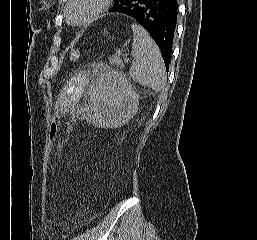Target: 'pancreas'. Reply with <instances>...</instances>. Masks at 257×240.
Listing matches in <instances>:
<instances>
[{
    "label": "pancreas",
    "mask_w": 257,
    "mask_h": 240,
    "mask_svg": "<svg viewBox=\"0 0 257 240\" xmlns=\"http://www.w3.org/2000/svg\"><path fill=\"white\" fill-rule=\"evenodd\" d=\"M109 62L112 65L123 67V63H122V61L120 59V56L118 54H115V55H112L111 57H109Z\"/></svg>",
    "instance_id": "1"
}]
</instances>
